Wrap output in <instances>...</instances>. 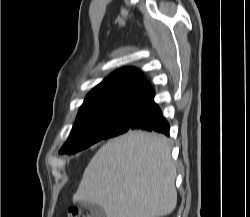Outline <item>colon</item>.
<instances>
[{
  "instance_id": "1",
  "label": "colon",
  "mask_w": 250,
  "mask_h": 217,
  "mask_svg": "<svg viewBox=\"0 0 250 217\" xmlns=\"http://www.w3.org/2000/svg\"><path fill=\"white\" fill-rule=\"evenodd\" d=\"M66 217H91V215L79 208H72L67 212Z\"/></svg>"
}]
</instances>
